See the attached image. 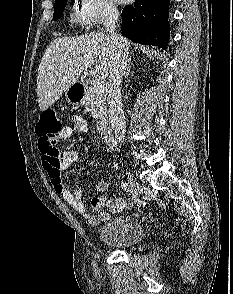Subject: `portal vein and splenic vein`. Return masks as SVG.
Instances as JSON below:
<instances>
[{
  "label": "portal vein and splenic vein",
  "mask_w": 233,
  "mask_h": 294,
  "mask_svg": "<svg viewBox=\"0 0 233 294\" xmlns=\"http://www.w3.org/2000/svg\"><path fill=\"white\" fill-rule=\"evenodd\" d=\"M94 91L96 93H103L105 91V83L103 81L97 80L94 83Z\"/></svg>",
  "instance_id": "portal-vein-and-splenic-vein-1"
}]
</instances>
